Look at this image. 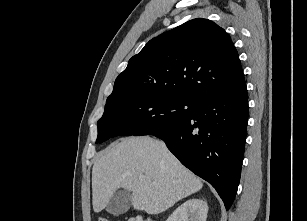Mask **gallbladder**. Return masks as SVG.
I'll return each instance as SVG.
<instances>
[{"label":"gallbladder","mask_w":307,"mask_h":221,"mask_svg":"<svg viewBox=\"0 0 307 221\" xmlns=\"http://www.w3.org/2000/svg\"><path fill=\"white\" fill-rule=\"evenodd\" d=\"M132 194L127 190H119L113 194L106 206V211L118 216L128 211L131 206Z\"/></svg>","instance_id":"1"}]
</instances>
